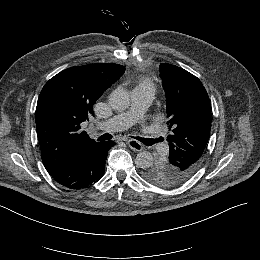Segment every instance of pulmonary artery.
Returning <instances> with one entry per match:
<instances>
[{
    "mask_svg": "<svg viewBox=\"0 0 260 260\" xmlns=\"http://www.w3.org/2000/svg\"><path fill=\"white\" fill-rule=\"evenodd\" d=\"M152 97L150 94H143L141 91H135L132 93V102L129 103L123 115L119 117H113L110 121L100 124L97 129H106L110 133H116L119 129L129 128L132 126L137 115L145 110L151 103Z\"/></svg>",
    "mask_w": 260,
    "mask_h": 260,
    "instance_id": "1",
    "label": "pulmonary artery"
}]
</instances>
